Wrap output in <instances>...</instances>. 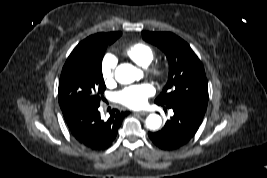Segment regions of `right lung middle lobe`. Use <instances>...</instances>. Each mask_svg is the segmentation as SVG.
<instances>
[{
    "label": "right lung middle lobe",
    "mask_w": 267,
    "mask_h": 178,
    "mask_svg": "<svg viewBox=\"0 0 267 178\" xmlns=\"http://www.w3.org/2000/svg\"><path fill=\"white\" fill-rule=\"evenodd\" d=\"M119 37H88L75 47L67 58L59 80L60 107L74 101L100 104L99 95L106 89L102 59L107 46Z\"/></svg>",
    "instance_id": "1"
}]
</instances>
